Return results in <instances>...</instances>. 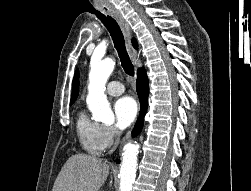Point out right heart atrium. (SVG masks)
Masks as SVG:
<instances>
[{
    "instance_id": "obj_1",
    "label": "right heart atrium",
    "mask_w": 251,
    "mask_h": 191,
    "mask_svg": "<svg viewBox=\"0 0 251 191\" xmlns=\"http://www.w3.org/2000/svg\"><path fill=\"white\" fill-rule=\"evenodd\" d=\"M116 132L114 128L107 124H101L99 129V140L102 149L109 148L116 140Z\"/></svg>"
}]
</instances>
